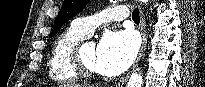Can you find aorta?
Returning a JSON list of instances; mask_svg holds the SVG:
<instances>
[{
	"mask_svg": "<svg viewBox=\"0 0 205 87\" xmlns=\"http://www.w3.org/2000/svg\"><path fill=\"white\" fill-rule=\"evenodd\" d=\"M142 2H147L148 0H141ZM142 74L140 72H134L131 74L127 87H142Z\"/></svg>",
	"mask_w": 205,
	"mask_h": 87,
	"instance_id": "obj_1",
	"label": "aorta"
}]
</instances>
